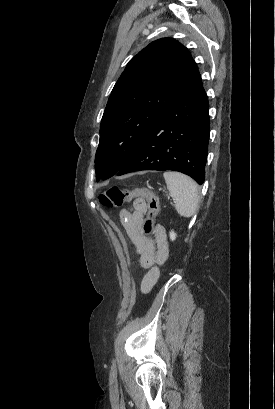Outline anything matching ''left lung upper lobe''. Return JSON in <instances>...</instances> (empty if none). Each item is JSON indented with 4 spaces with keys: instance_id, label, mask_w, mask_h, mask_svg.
<instances>
[{
    "instance_id": "obj_1",
    "label": "left lung upper lobe",
    "mask_w": 275,
    "mask_h": 409,
    "mask_svg": "<svg viewBox=\"0 0 275 409\" xmlns=\"http://www.w3.org/2000/svg\"><path fill=\"white\" fill-rule=\"evenodd\" d=\"M202 83L190 52L171 38L151 42L127 64L104 111L96 179L115 175L157 120Z\"/></svg>"
}]
</instances>
